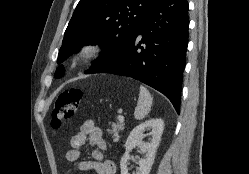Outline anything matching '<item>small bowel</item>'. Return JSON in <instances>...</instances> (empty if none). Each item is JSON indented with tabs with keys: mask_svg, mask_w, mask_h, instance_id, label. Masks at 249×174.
<instances>
[{
	"mask_svg": "<svg viewBox=\"0 0 249 174\" xmlns=\"http://www.w3.org/2000/svg\"><path fill=\"white\" fill-rule=\"evenodd\" d=\"M90 147L92 160L78 162L80 171L94 170L97 174H116V165L113 161L104 158L108 145L103 137L102 130L92 120L85 121L78 132L71 136V148L66 152L68 162H76L81 157L84 147Z\"/></svg>",
	"mask_w": 249,
	"mask_h": 174,
	"instance_id": "small-bowel-1",
	"label": "small bowel"
}]
</instances>
